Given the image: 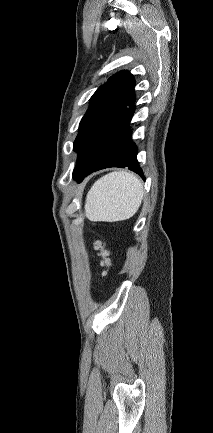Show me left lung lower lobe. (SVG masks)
Wrapping results in <instances>:
<instances>
[{
  "label": "left lung lower lobe",
  "instance_id": "left-lung-lower-lobe-1",
  "mask_svg": "<svg viewBox=\"0 0 213 433\" xmlns=\"http://www.w3.org/2000/svg\"><path fill=\"white\" fill-rule=\"evenodd\" d=\"M134 110L135 107L133 105L115 126L92 161L84 169L73 176L75 180L81 182L84 177L92 172L109 167H128L129 170L134 171L145 180L136 158L137 147L131 139V131L129 129V124L134 114Z\"/></svg>",
  "mask_w": 213,
  "mask_h": 433
}]
</instances>
